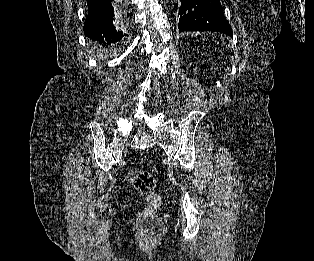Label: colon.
Segmentation results:
<instances>
[{"mask_svg":"<svg viewBox=\"0 0 314 261\" xmlns=\"http://www.w3.org/2000/svg\"><path fill=\"white\" fill-rule=\"evenodd\" d=\"M127 180L132 183L137 191L146 197L148 204L139 215L137 227L140 233L158 236L163 231V224L156 215V210L161 204L159 195L154 192L155 178L150 171L133 170L127 174Z\"/></svg>","mask_w":314,"mask_h":261,"instance_id":"5ec220e1","label":"colon"}]
</instances>
